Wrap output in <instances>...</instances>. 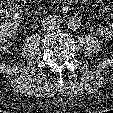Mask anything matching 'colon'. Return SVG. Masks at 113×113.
I'll use <instances>...</instances> for the list:
<instances>
[{"label":"colon","instance_id":"obj_1","mask_svg":"<svg viewBox=\"0 0 113 113\" xmlns=\"http://www.w3.org/2000/svg\"><path fill=\"white\" fill-rule=\"evenodd\" d=\"M6 1L8 2L6 3ZM12 1L0 0V30L6 25L7 18L11 17L10 10L9 11L7 10V7H9L8 3H10V6H17L16 1H22V0H12Z\"/></svg>","mask_w":113,"mask_h":113}]
</instances>
